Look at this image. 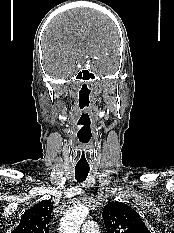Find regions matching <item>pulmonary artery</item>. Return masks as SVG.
<instances>
[{
    "mask_svg": "<svg viewBox=\"0 0 174 233\" xmlns=\"http://www.w3.org/2000/svg\"><path fill=\"white\" fill-rule=\"evenodd\" d=\"M81 233H98L97 224L93 221H87L82 225Z\"/></svg>",
    "mask_w": 174,
    "mask_h": 233,
    "instance_id": "obj_1",
    "label": "pulmonary artery"
}]
</instances>
